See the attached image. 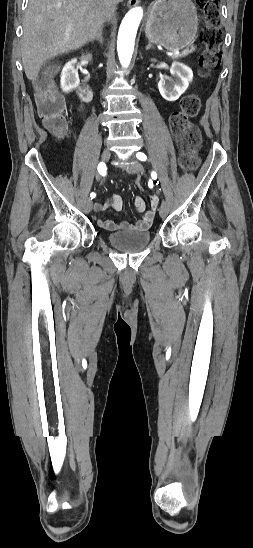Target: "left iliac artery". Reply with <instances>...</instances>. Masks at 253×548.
Returning <instances> with one entry per match:
<instances>
[{
	"mask_svg": "<svg viewBox=\"0 0 253 548\" xmlns=\"http://www.w3.org/2000/svg\"><path fill=\"white\" fill-rule=\"evenodd\" d=\"M136 156L141 161H146V159H147V156L142 152H138ZM151 176H152L153 179H156L157 178L156 172L153 171Z\"/></svg>",
	"mask_w": 253,
	"mask_h": 548,
	"instance_id": "obj_1",
	"label": "left iliac artery"
}]
</instances>
